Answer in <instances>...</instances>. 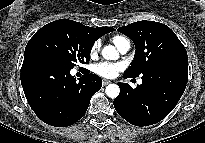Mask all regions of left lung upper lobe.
I'll return each instance as SVG.
<instances>
[{
	"label": "left lung upper lobe",
	"mask_w": 205,
	"mask_h": 143,
	"mask_svg": "<svg viewBox=\"0 0 205 143\" xmlns=\"http://www.w3.org/2000/svg\"><path fill=\"white\" fill-rule=\"evenodd\" d=\"M118 31L131 38L136 48L134 60L124 74L127 77L143 75L155 65L172 60L188 61L185 47L165 24L144 20L119 27Z\"/></svg>",
	"instance_id": "left-lung-upper-lobe-1"
}]
</instances>
